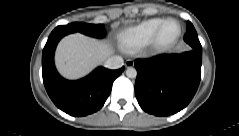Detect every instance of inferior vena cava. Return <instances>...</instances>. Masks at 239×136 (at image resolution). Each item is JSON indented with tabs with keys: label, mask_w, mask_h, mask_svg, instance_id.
<instances>
[{
	"label": "inferior vena cava",
	"mask_w": 239,
	"mask_h": 136,
	"mask_svg": "<svg viewBox=\"0 0 239 136\" xmlns=\"http://www.w3.org/2000/svg\"><path fill=\"white\" fill-rule=\"evenodd\" d=\"M123 65L124 61L123 58L120 56H111L104 63V66L108 69H119Z\"/></svg>",
	"instance_id": "obj_1"
}]
</instances>
